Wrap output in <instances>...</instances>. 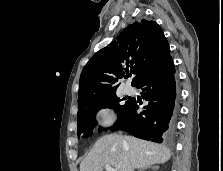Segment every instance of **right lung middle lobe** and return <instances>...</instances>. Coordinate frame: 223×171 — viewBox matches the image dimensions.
I'll return each instance as SVG.
<instances>
[{"label":"right lung middle lobe","instance_id":"obj_1","mask_svg":"<svg viewBox=\"0 0 223 171\" xmlns=\"http://www.w3.org/2000/svg\"><path fill=\"white\" fill-rule=\"evenodd\" d=\"M122 99H119L116 94L109 95L94 101L88 105L78 108L77 116V134L84 138L89 137L93 133V129L96 127L97 122L95 120L96 113L102 108L114 109L118 114V121L126 114L129 109L132 100L126 101L125 104H121ZM104 129H99L102 131Z\"/></svg>","mask_w":223,"mask_h":171}]
</instances>
